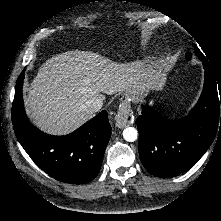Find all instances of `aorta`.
<instances>
[{
	"label": "aorta",
	"mask_w": 221,
	"mask_h": 221,
	"mask_svg": "<svg viewBox=\"0 0 221 221\" xmlns=\"http://www.w3.org/2000/svg\"><path fill=\"white\" fill-rule=\"evenodd\" d=\"M123 138L128 142H134L138 138L137 130L133 127L124 129Z\"/></svg>",
	"instance_id": "aorta-1"
}]
</instances>
